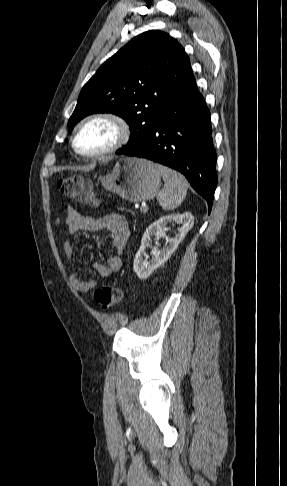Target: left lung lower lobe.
<instances>
[{
  "mask_svg": "<svg viewBox=\"0 0 287 486\" xmlns=\"http://www.w3.org/2000/svg\"><path fill=\"white\" fill-rule=\"evenodd\" d=\"M210 111L195 78L168 102L138 146L117 154L142 157L178 170L204 197L209 211L217 186Z\"/></svg>",
  "mask_w": 287,
  "mask_h": 486,
  "instance_id": "1",
  "label": "left lung lower lobe"
}]
</instances>
